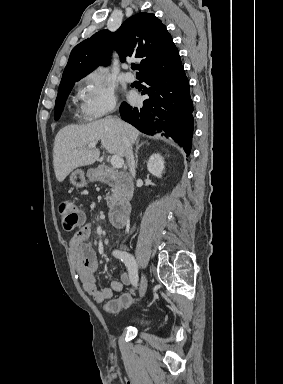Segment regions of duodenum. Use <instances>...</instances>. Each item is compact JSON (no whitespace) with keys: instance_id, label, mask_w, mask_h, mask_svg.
<instances>
[{"instance_id":"410a0bca","label":"duodenum","mask_w":283,"mask_h":384,"mask_svg":"<svg viewBox=\"0 0 283 384\" xmlns=\"http://www.w3.org/2000/svg\"><path fill=\"white\" fill-rule=\"evenodd\" d=\"M94 174L98 181L110 182L121 188V201L111 211L109 217L115 227H124L130 218L132 209V177L127 172H116L109 166L104 165L96 167Z\"/></svg>"}]
</instances>
